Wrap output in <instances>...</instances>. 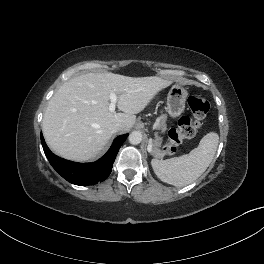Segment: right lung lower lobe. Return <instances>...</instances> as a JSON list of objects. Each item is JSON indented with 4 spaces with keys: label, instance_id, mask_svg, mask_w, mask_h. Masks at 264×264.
<instances>
[{
    "label": "right lung lower lobe",
    "instance_id": "98d812e1",
    "mask_svg": "<svg viewBox=\"0 0 264 264\" xmlns=\"http://www.w3.org/2000/svg\"><path fill=\"white\" fill-rule=\"evenodd\" d=\"M128 134L118 136L108 152L94 163H76L53 154L41 134L44 153L52 167L70 183L86 186L104 181L111 173L115 157Z\"/></svg>",
    "mask_w": 264,
    "mask_h": 264
}]
</instances>
